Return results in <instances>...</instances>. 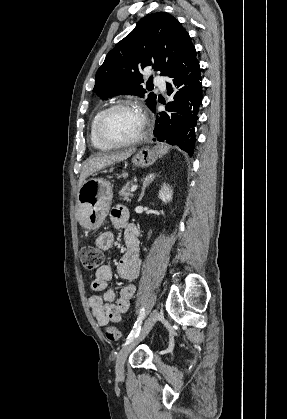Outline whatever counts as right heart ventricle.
<instances>
[{"instance_id":"obj_1","label":"right heart ventricle","mask_w":287,"mask_h":419,"mask_svg":"<svg viewBox=\"0 0 287 419\" xmlns=\"http://www.w3.org/2000/svg\"><path fill=\"white\" fill-rule=\"evenodd\" d=\"M102 111L103 109L96 112V114L93 116L91 120L90 128H89V140L94 148L106 151V150L111 149L112 147L103 144L96 135V122Z\"/></svg>"}]
</instances>
